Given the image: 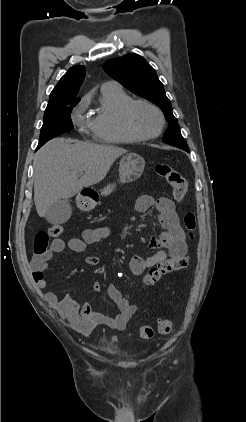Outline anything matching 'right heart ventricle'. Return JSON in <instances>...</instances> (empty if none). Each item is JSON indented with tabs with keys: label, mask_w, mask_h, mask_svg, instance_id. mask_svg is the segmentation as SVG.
I'll return each mask as SVG.
<instances>
[{
	"label": "right heart ventricle",
	"mask_w": 246,
	"mask_h": 422,
	"mask_svg": "<svg viewBox=\"0 0 246 422\" xmlns=\"http://www.w3.org/2000/svg\"><path fill=\"white\" fill-rule=\"evenodd\" d=\"M132 99L118 86L102 87L99 108L92 118V131L95 138L104 143H132L137 141L123 126L121 111Z\"/></svg>",
	"instance_id": "right-heart-ventricle-1"
}]
</instances>
